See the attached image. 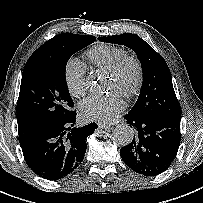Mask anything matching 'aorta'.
I'll list each match as a JSON object with an SVG mask.
<instances>
[{
    "label": "aorta",
    "instance_id": "obj_1",
    "mask_svg": "<svg viewBox=\"0 0 203 203\" xmlns=\"http://www.w3.org/2000/svg\"><path fill=\"white\" fill-rule=\"evenodd\" d=\"M95 85V82L90 78L88 80V87H93ZM134 137V130L127 124H119L116 126L114 130V138L115 141L121 145L126 146L130 144Z\"/></svg>",
    "mask_w": 203,
    "mask_h": 203
}]
</instances>
